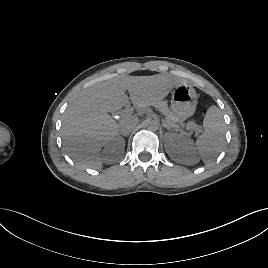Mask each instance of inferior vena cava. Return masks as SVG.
<instances>
[{
    "instance_id": "obj_1",
    "label": "inferior vena cava",
    "mask_w": 268,
    "mask_h": 268,
    "mask_svg": "<svg viewBox=\"0 0 268 268\" xmlns=\"http://www.w3.org/2000/svg\"><path fill=\"white\" fill-rule=\"evenodd\" d=\"M137 124H138L137 117H129L127 119L122 120L119 123V131L123 135H128L135 129Z\"/></svg>"
}]
</instances>
